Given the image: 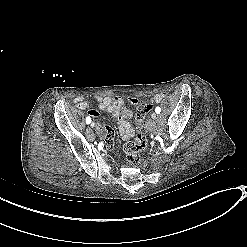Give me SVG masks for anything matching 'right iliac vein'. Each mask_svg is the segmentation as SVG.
<instances>
[{
    "label": "right iliac vein",
    "mask_w": 247,
    "mask_h": 247,
    "mask_svg": "<svg viewBox=\"0 0 247 247\" xmlns=\"http://www.w3.org/2000/svg\"><path fill=\"white\" fill-rule=\"evenodd\" d=\"M90 126L93 128L95 126V123L91 122Z\"/></svg>",
    "instance_id": "obj_1"
}]
</instances>
